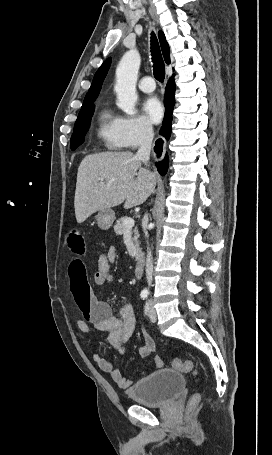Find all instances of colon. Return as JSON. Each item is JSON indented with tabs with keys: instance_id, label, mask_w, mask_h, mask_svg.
I'll return each mask as SVG.
<instances>
[{
	"instance_id": "obj_1",
	"label": "colon",
	"mask_w": 272,
	"mask_h": 455,
	"mask_svg": "<svg viewBox=\"0 0 272 455\" xmlns=\"http://www.w3.org/2000/svg\"><path fill=\"white\" fill-rule=\"evenodd\" d=\"M110 265L111 263L107 257V253H101L93 275V279L96 284L102 285L111 280ZM172 365L175 369L181 372L188 374H197V368L195 367L194 363L189 360L175 358L172 362ZM198 400L199 395H194L190 400V406H194Z\"/></svg>"
}]
</instances>
